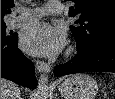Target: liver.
<instances>
[{
  "label": "liver",
  "instance_id": "1",
  "mask_svg": "<svg viewBox=\"0 0 115 99\" xmlns=\"http://www.w3.org/2000/svg\"><path fill=\"white\" fill-rule=\"evenodd\" d=\"M1 99H21L16 84L1 78Z\"/></svg>",
  "mask_w": 115,
  "mask_h": 99
}]
</instances>
